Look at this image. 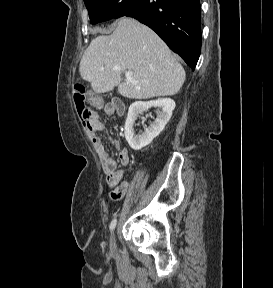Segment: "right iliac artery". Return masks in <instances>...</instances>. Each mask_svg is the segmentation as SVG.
Here are the masks:
<instances>
[{
  "label": "right iliac artery",
  "mask_w": 273,
  "mask_h": 288,
  "mask_svg": "<svg viewBox=\"0 0 273 288\" xmlns=\"http://www.w3.org/2000/svg\"><path fill=\"white\" fill-rule=\"evenodd\" d=\"M116 224H117V219H113L111 224H110V230H113L115 228Z\"/></svg>",
  "instance_id": "obj_1"
}]
</instances>
